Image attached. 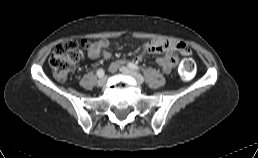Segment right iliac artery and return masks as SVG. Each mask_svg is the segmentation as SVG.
I'll return each mask as SVG.
<instances>
[{
	"instance_id": "obj_1",
	"label": "right iliac artery",
	"mask_w": 258,
	"mask_h": 158,
	"mask_svg": "<svg viewBox=\"0 0 258 158\" xmlns=\"http://www.w3.org/2000/svg\"><path fill=\"white\" fill-rule=\"evenodd\" d=\"M97 76L98 77H103L104 76V70L103 69L97 70Z\"/></svg>"
}]
</instances>
